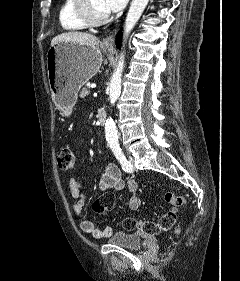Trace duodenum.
<instances>
[{"mask_svg":"<svg viewBox=\"0 0 240 281\" xmlns=\"http://www.w3.org/2000/svg\"><path fill=\"white\" fill-rule=\"evenodd\" d=\"M97 117H98L99 122H100L102 125L105 124V121H106V118H107V113H106V111H105V110H102V109L98 110V111H97Z\"/></svg>","mask_w":240,"mask_h":281,"instance_id":"1","label":"duodenum"}]
</instances>
